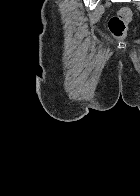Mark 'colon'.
Here are the masks:
<instances>
[{"label": "colon", "instance_id": "5ec220e1", "mask_svg": "<svg viewBox=\"0 0 140 196\" xmlns=\"http://www.w3.org/2000/svg\"><path fill=\"white\" fill-rule=\"evenodd\" d=\"M132 19L133 12L129 8H122L111 16L108 21V28L113 37L119 40L124 39Z\"/></svg>", "mask_w": 140, "mask_h": 196}]
</instances>
